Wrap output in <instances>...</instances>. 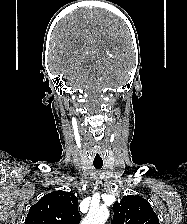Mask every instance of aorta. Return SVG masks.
<instances>
[{
  "instance_id": "obj_1",
  "label": "aorta",
  "mask_w": 187,
  "mask_h": 224,
  "mask_svg": "<svg viewBox=\"0 0 187 224\" xmlns=\"http://www.w3.org/2000/svg\"><path fill=\"white\" fill-rule=\"evenodd\" d=\"M109 217V210L106 207L89 210L81 224H105Z\"/></svg>"
}]
</instances>
